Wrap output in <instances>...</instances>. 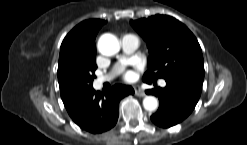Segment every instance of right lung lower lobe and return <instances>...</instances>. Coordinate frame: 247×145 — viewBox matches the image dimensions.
Instances as JSON below:
<instances>
[{
    "label": "right lung lower lobe",
    "mask_w": 247,
    "mask_h": 145,
    "mask_svg": "<svg viewBox=\"0 0 247 145\" xmlns=\"http://www.w3.org/2000/svg\"><path fill=\"white\" fill-rule=\"evenodd\" d=\"M131 86L117 84L105 94L93 88L63 100L73 121L83 130L101 133L111 129L118 119L119 101L133 94Z\"/></svg>",
    "instance_id": "right-lung-lower-lobe-1"
}]
</instances>
